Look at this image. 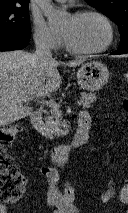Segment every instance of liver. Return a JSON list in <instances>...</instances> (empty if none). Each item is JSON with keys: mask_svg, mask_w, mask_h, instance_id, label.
<instances>
[{"mask_svg": "<svg viewBox=\"0 0 128 213\" xmlns=\"http://www.w3.org/2000/svg\"><path fill=\"white\" fill-rule=\"evenodd\" d=\"M83 60L63 63L77 67ZM55 60L43 65L35 54L22 50L0 52V127L29 116L32 108L23 105L56 91L61 85Z\"/></svg>", "mask_w": 128, "mask_h": 213, "instance_id": "1", "label": "liver"}]
</instances>
